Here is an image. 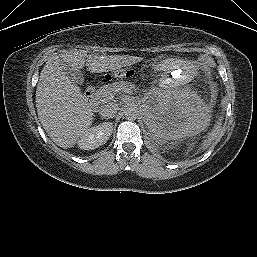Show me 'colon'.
<instances>
[{
	"label": "colon",
	"mask_w": 257,
	"mask_h": 257,
	"mask_svg": "<svg viewBox=\"0 0 257 257\" xmlns=\"http://www.w3.org/2000/svg\"><path fill=\"white\" fill-rule=\"evenodd\" d=\"M199 60L205 68L211 69L214 67V61L209 55H201ZM135 74V69H120L107 74L105 77L108 80L113 78H132L135 76Z\"/></svg>",
	"instance_id": "colon-1"
}]
</instances>
